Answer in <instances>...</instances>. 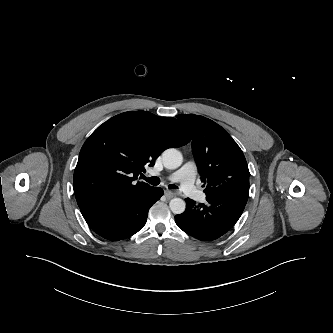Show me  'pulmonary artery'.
Here are the masks:
<instances>
[{
	"label": "pulmonary artery",
	"mask_w": 333,
	"mask_h": 333,
	"mask_svg": "<svg viewBox=\"0 0 333 333\" xmlns=\"http://www.w3.org/2000/svg\"><path fill=\"white\" fill-rule=\"evenodd\" d=\"M196 165L193 162L185 163L179 170L169 174L166 179L171 182H180L183 192L200 200L204 194L195 186Z\"/></svg>",
	"instance_id": "obj_1"
}]
</instances>
